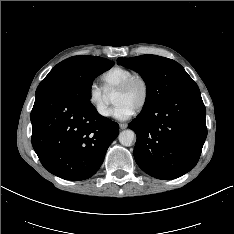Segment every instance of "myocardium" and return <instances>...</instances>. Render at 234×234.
<instances>
[{
  "label": "myocardium",
  "instance_id": "myocardium-1",
  "mask_svg": "<svg viewBox=\"0 0 234 234\" xmlns=\"http://www.w3.org/2000/svg\"><path fill=\"white\" fill-rule=\"evenodd\" d=\"M137 82L140 83L142 86L143 95L139 105L134 111L140 112L146 107L150 97V86L147 79L144 76L140 74H133L116 88V92L124 93L128 91Z\"/></svg>",
  "mask_w": 234,
  "mask_h": 234
}]
</instances>
